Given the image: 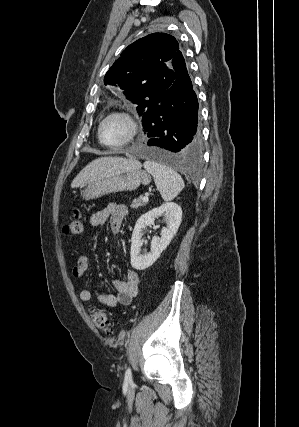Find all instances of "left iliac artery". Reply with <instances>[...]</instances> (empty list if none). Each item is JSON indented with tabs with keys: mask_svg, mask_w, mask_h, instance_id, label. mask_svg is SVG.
Listing matches in <instances>:
<instances>
[{
	"mask_svg": "<svg viewBox=\"0 0 299 427\" xmlns=\"http://www.w3.org/2000/svg\"><path fill=\"white\" fill-rule=\"evenodd\" d=\"M125 379L126 380H132V373H131V369L130 368H128L127 370H126V372H125Z\"/></svg>",
	"mask_w": 299,
	"mask_h": 427,
	"instance_id": "44dca946",
	"label": "left iliac artery"
}]
</instances>
